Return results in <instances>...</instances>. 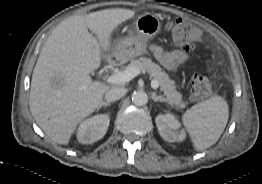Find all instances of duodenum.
<instances>
[{"mask_svg": "<svg viewBox=\"0 0 262 184\" xmlns=\"http://www.w3.org/2000/svg\"><path fill=\"white\" fill-rule=\"evenodd\" d=\"M119 57H115L109 64L108 67L114 66L119 62Z\"/></svg>", "mask_w": 262, "mask_h": 184, "instance_id": "duodenum-1", "label": "duodenum"}]
</instances>
